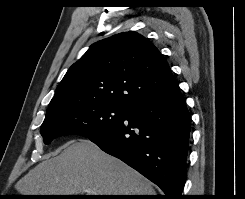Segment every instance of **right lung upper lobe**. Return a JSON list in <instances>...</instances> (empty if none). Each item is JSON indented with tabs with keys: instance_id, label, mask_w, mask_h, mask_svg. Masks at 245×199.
I'll use <instances>...</instances> for the list:
<instances>
[{
	"instance_id": "obj_1",
	"label": "right lung upper lobe",
	"mask_w": 245,
	"mask_h": 199,
	"mask_svg": "<svg viewBox=\"0 0 245 199\" xmlns=\"http://www.w3.org/2000/svg\"><path fill=\"white\" fill-rule=\"evenodd\" d=\"M177 86L167 61L148 39L133 32L120 33L94 43L69 68L46 116L87 103L130 108Z\"/></svg>"
}]
</instances>
